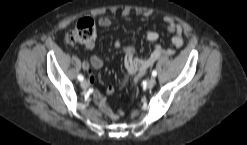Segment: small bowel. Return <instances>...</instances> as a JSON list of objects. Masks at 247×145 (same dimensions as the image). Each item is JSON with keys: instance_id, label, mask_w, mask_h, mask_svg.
<instances>
[{"instance_id": "1", "label": "small bowel", "mask_w": 247, "mask_h": 145, "mask_svg": "<svg viewBox=\"0 0 247 145\" xmlns=\"http://www.w3.org/2000/svg\"><path fill=\"white\" fill-rule=\"evenodd\" d=\"M123 15H127V12H123ZM163 22L167 30L173 35L171 44L172 47L163 48L160 44H156L152 54L146 59L135 58V48L130 44H123L121 41L116 40L114 42V47L121 50L124 54V63L126 72L128 75H134L135 80L140 79L146 71L153 66L159 59L166 55H172L174 53V48H180L184 43L183 38V27L172 17H164ZM111 19L104 16L98 19V25L102 28H108L111 26ZM158 33L155 30H148L146 32L147 40L151 42H156L158 40ZM95 44L93 42L86 44L85 49L88 51L93 50ZM103 65V60L97 55H92L89 60L82 63V68L88 73V83L93 85L95 82V76L93 74V69L100 68ZM125 85V81L121 86ZM115 87L109 85L106 89V94L110 95L114 92ZM92 96L94 103L109 116L113 121L119 120L124 112L120 109L114 111L111 104L107 100L106 96L102 95L98 90H92Z\"/></svg>"}]
</instances>
